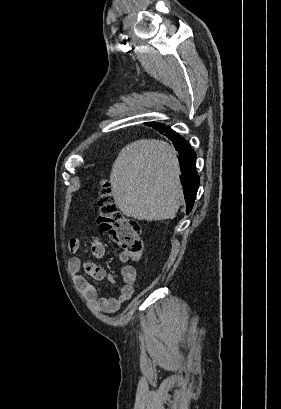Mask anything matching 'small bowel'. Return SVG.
I'll list each match as a JSON object with an SVG mask.
<instances>
[{"label":"small bowel","instance_id":"small-bowel-1","mask_svg":"<svg viewBox=\"0 0 281 409\" xmlns=\"http://www.w3.org/2000/svg\"><path fill=\"white\" fill-rule=\"evenodd\" d=\"M80 242L76 238H71L68 241V248L71 253H76L79 250ZM90 250L95 258H102L105 254V248L102 242L98 238H94L90 245ZM125 259V256H121ZM80 270H83L87 275L96 281H106L108 284L116 282L114 276L106 272L104 268L90 261H83L79 257H72L69 262V272L74 278V282L78 290L96 306L106 312H116L123 303L128 301L134 292V283L137 277V271L135 267L131 265H125L121 270L122 284L119 291L114 297H101L98 296L97 288L91 284L85 277L78 274Z\"/></svg>","mask_w":281,"mask_h":409}]
</instances>
